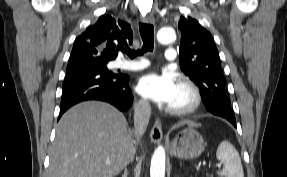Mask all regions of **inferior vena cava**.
I'll use <instances>...</instances> for the list:
<instances>
[{
  "label": "inferior vena cava",
  "mask_w": 287,
  "mask_h": 177,
  "mask_svg": "<svg viewBox=\"0 0 287 177\" xmlns=\"http://www.w3.org/2000/svg\"><path fill=\"white\" fill-rule=\"evenodd\" d=\"M151 116V106L148 101L140 100L134 107L135 136L141 137L149 123Z\"/></svg>",
  "instance_id": "inferior-vena-cava-1"
}]
</instances>
